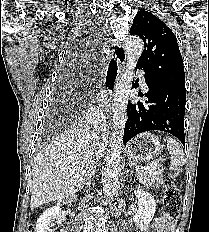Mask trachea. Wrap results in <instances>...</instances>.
Returning a JSON list of instances; mask_svg holds the SVG:
<instances>
[{
	"mask_svg": "<svg viewBox=\"0 0 209 232\" xmlns=\"http://www.w3.org/2000/svg\"><path fill=\"white\" fill-rule=\"evenodd\" d=\"M109 81V77H108V74H107V77H106V83H108Z\"/></svg>",
	"mask_w": 209,
	"mask_h": 232,
	"instance_id": "obj_1",
	"label": "trachea"
}]
</instances>
